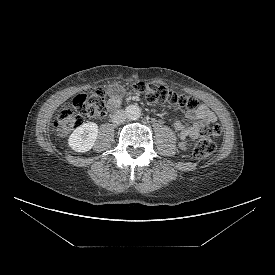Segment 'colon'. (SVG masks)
Here are the masks:
<instances>
[{
    "mask_svg": "<svg viewBox=\"0 0 275 275\" xmlns=\"http://www.w3.org/2000/svg\"><path fill=\"white\" fill-rule=\"evenodd\" d=\"M131 91L135 96L143 97L151 104L179 105L190 110L198 106L195 98L178 94L163 85L138 82L132 85ZM72 105L73 111L63 110L54 119V128L61 137L67 136L81 126L85 119L102 117L106 113L105 91L102 88H96L89 93L79 94L73 99ZM219 135L220 128L217 125L202 127L194 147V156L202 159L212 155Z\"/></svg>",
    "mask_w": 275,
    "mask_h": 275,
    "instance_id": "obj_1",
    "label": "colon"
}]
</instances>
